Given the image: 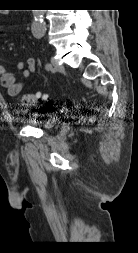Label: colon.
I'll return each instance as SVG.
<instances>
[{
    "mask_svg": "<svg viewBox=\"0 0 138 253\" xmlns=\"http://www.w3.org/2000/svg\"><path fill=\"white\" fill-rule=\"evenodd\" d=\"M45 99H47V95L38 92L32 94H24L21 98V102L25 106H32Z\"/></svg>",
    "mask_w": 138,
    "mask_h": 253,
    "instance_id": "5ec220e1",
    "label": "colon"
}]
</instances>
